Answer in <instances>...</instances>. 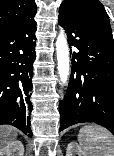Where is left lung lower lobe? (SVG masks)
<instances>
[{
	"label": "left lung lower lobe",
	"mask_w": 114,
	"mask_h": 156,
	"mask_svg": "<svg viewBox=\"0 0 114 156\" xmlns=\"http://www.w3.org/2000/svg\"><path fill=\"white\" fill-rule=\"evenodd\" d=\"M58 23L71 51L69 87L59 106L60 131L94 122L114 135V42L112 32L77 9L61 5Z\"/></svg>",
	"instance_id": "left-lung-lower-lobe-1"
}]
</instances>
